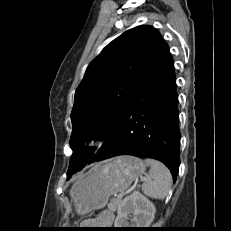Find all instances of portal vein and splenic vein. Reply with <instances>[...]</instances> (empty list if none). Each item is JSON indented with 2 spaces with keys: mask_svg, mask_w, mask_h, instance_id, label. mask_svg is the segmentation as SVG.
Masks as SVG:
<instances>
[{
  "mask_svg": "<svg viewBox=\"0 0 231 231\" xmlns=\"http://www.w3.org/2000/svg\"><path fill=\"white\" fill-rule=\"evenodd\" d=\"M142 180L144 181L145 179H142ZM133 189H134V187L131 186L125 192L118 194L117 197H123L124 195L129 194Z\"/></svg>",
  "mask_w": 231,
  "mask_h": 231,
  "instance_id": "1",
  "label": "portal vein and splenic vein"
}]
</instances>
